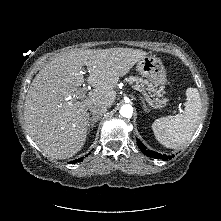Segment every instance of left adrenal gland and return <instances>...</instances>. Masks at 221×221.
I'll return each mask as SVG.
<instances>
[{"label":"left adrenal gland","mask_w":221,"mask_h":221,"mask_svg":"<svg viewBox=\"0 0 221 221\" xmlns=\"http://www.w3.org/2000/svg\"><path fill=\"white\" fill-rule=\"evenodd\" d=\"M140 99H141V102H142V104H143L144 110L148 112V108H147V106H146V104H145L144 99H143L142 97H140Z\"/></svg>","instance_id":"left-adrenal-gland-1"}]
</instances>
